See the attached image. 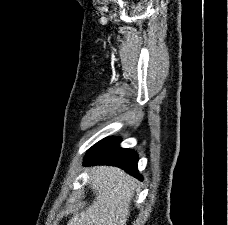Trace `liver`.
I'll list each match as a JSON object with an SVG mask.
<instances>
[{"instance_id": "obj_1", "label": "liver", "mask_w": 228, "mask_h": 225, "mask_svg": "<svg viewBox=\"0 0 228 225\" xmlns=\"http://www.w3.org/2000/svg\"><path fill=\"white\" fill-rule=\"evenodd\" d=\"M95 199L87 211L71 217L67 225H126L129 219L134 187L133 177L117 167L86 169Z\"/></svg>"}]
</instances>
